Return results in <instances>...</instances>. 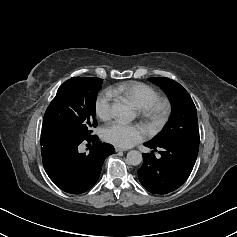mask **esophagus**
<instances>
[{
  "instance_id": "1",
  "label": "esophagus",
  "mask_w": 237,
  "mask_h": 237,
  "mask_svg": "<svg viewBox=\"0 0 237 237\" xmlns=\"http://www.w3.org/2000/svg\"><path fill=\"white\" fill-rule=\"evenodd\" d=\"M115 151H116V152H121V151H126V149H122V148H119V147H115Z\"/></svg>"
}]
</instances>
